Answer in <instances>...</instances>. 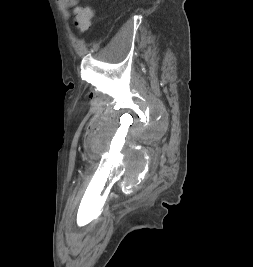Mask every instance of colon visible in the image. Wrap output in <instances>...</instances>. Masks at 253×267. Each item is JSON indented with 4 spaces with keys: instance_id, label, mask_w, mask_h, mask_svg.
I'll return each instance as SVG.
<instances>
[{
    "instance_id": "obj_1",
    "label": "colon",
    "mask_w": 253,
    "mask_h": 267,
    "mask_svg": "<svg viewBox=\"0 0 253 267\" xmlns=\"http://www.w3.org/2000/svg\"><path fill=\"white\" fill-rule=\"evenodd\" d=\"M74 24L81 32H86L92 23L93 11L86 6H79L74 9Z\"/></svg>"
}]
</instances>
